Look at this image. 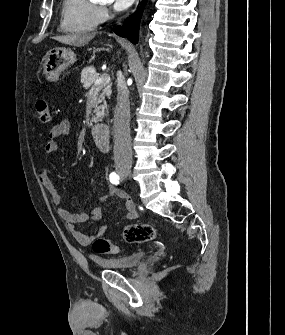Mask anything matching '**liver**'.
<instances>
[{
  "label": "liver",
  "mask_w": 285,
  "mask_h": 335,
  "mask_svg": "<svg viewBox=\"0 0 285 335\" xmlns=\"http://www.w3.org/2000/svg\"><path fill=\"white\" fill-rule=\"evenodd\" d=\"M94 34H68V36H54L53 40L61 42V44H68V46H86L90 40H93Z\"/></svg>",
  "instance_id": "1"
}]
</instances>
